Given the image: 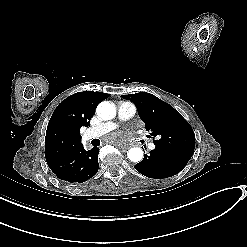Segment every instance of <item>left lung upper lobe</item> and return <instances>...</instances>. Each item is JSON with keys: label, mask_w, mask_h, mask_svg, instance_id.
<instances>
[{"label": "left lung upper lobe", "mask_w": 247, "mask_h": 247, "mask_svg": "<svg viewBox=\"0 0 247 247\" xmlns=\"http://www.w3.org/2000/svg\"><path fill=\"white\" fill-rule=\"evenodd\" d=\"M121 97L136 104L139 116L150 132L149 137L155 138L156 147L182 152L190 157L193 155V129L172 106L146 92Z\"/></svg>", "instance_id": "1"}]
</instances>
